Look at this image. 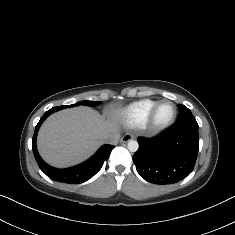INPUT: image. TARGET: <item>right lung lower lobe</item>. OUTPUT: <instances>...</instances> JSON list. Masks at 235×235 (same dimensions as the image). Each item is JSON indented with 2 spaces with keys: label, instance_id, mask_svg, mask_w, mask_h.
I'll return each mask as SVG.
<instances>
[{
  "label": "right lung lower lobe",
  "instance_id": "98d812e1",
  "mask_svg": "<svg viewBox=\"0 0 235 235\" xmlns=\"http://www.w3.org/2000/svg\"><path fill=\"white\" fill-rule=\"evenodd\" d=\"M54 112L56 111H54L53 108L48 110L35 127V132L32 139V149L35 159L40 169L52 180L70 184L83 183L93 177L102 168L104 161L108 159L114 146L109 144L103 145L90 159L71 168L57 169L49 166L38 154L36 148V137L43 121Z\"/></svg>",
  "mask_w": 235,
  "mask_h": 235
}]
</instances>
